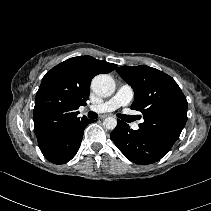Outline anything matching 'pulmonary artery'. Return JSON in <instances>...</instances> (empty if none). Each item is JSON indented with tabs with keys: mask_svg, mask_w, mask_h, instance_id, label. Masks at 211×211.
Returning a JSON list of instances; mask_svg holds the SVG:
<instances>
[{
	"mask_svg": "<svg viewBox=\"0 0 211 211\" xmlns=\"http://www.w3.org/2000/svg\"><path fill=\"white\" fill-rule=\"evenodd\" d=\"M134 96V91L132 87L128 84H124L119 87L114 96L104 103L96 106H91L90 110L95 112H111L119 107L128 105ZM134 130L139 129V124L136 123L133 125Z\"/></svg>",
	"mask_w": 211,
	"mask_h": 211,
	"instance_id": "e3ab8cb5",
	"label": "pulmonary artery"
}]
</instances>
